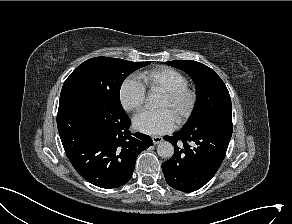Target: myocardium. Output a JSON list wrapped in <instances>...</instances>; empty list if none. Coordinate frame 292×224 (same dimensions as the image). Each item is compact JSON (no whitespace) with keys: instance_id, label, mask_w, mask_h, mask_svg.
I'll use <instances>...</instances> for the list:
<instances>
[{"instance_id":"myocardium-1","label":"myocardium","mask_w":292,"mask_h":224,"mask_svg":"<svg viewBox=\"0 0 292 224\" xmlns=\"http://www.w3.org/2000/svg\"><path fill=\"white\" fill-rule=\"evenodd\" d=\"M170 104L178 108L176 120L179 124H184L193 115L197 104L198 94L189 87L168 90L164 92Z\"/></svg>"}]
</instances>
